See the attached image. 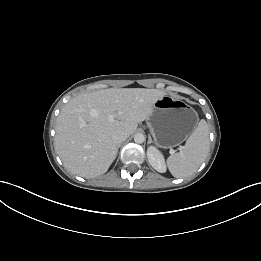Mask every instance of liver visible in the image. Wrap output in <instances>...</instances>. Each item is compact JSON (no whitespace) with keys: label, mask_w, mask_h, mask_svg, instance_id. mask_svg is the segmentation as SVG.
<instances>
[{"label":"liver","mask_w":261,"mask_h":261,"mask_svg":"<svg viewBox=\"0 0 261 261\" xmlns=\"http://www.w3.org/2000/svg\"><path fill=\"white\" fill-rule=\"evenodd\" d=\"M164 95L157 89L109 88L72 98L55 127V149L66 169L84 178L106 173L117 155L112 135L132 134Z\"/></svg>","instance_id":"1"}]
</instances>
